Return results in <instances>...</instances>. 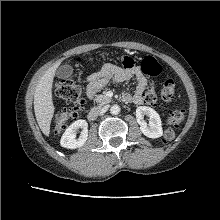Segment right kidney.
Here are the masks:
<instances>
[{
  "label": "right kidney",
  "instance_id": "1",
  "mask_svg": "<svg viewBox=\"0 0 220 220\" xmlns=\"http://www.w3.org/2000/svg\"><path fill=\"white\" fill-rule=\"evenodd\" d=\"M87 122L85 120H77L72 123L63 133L60 144L64 148L75 149L83 146L88 139ZM79 128H83L80 136L77 138L76 133Z\"/></svg>",
  "mask_w": 220,
  "mask_h": 220
}]
</instances>
